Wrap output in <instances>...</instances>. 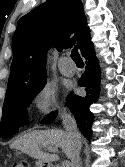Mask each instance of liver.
<instances>
[{
	"label": "liver",
	"instance_id": "obj_1",
	"mask_svg": "<svg viewBox=\"0 0 125 167\" xmlns=\"http://www.w3.org/2000/svg\"><path fill=\"white\" fill-rule=\"evenodd\" d=\"M61 148L68 159L72 158L73 145L66 131L59 129L34 130L19 136L11 148L19 150L42 162H53L59 159L57 154L42 151V148Z\"/></svg>",
	"mask_w": 125,
	"mask_h": 167
}]
</instances>
